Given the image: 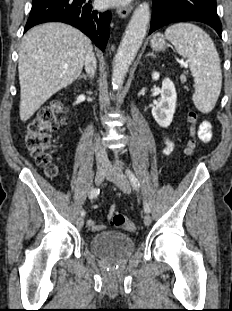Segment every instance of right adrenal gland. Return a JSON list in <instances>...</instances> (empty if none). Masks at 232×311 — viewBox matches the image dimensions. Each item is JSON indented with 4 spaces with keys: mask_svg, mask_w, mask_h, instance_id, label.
<instances>
[{
    "mask_svg": "<svg viewBox=\"0 0 232 311\" xmlns=\"http://www.w3.org/2000/svg\"><path fill=\"white\" fill-rule=\"evenodd\" d=\"M79 79H84V80H88V76L86 74L80 75Z\"/></svg>",
    "mask_w": 232,
    "mask_h": 311,
    "instance_id": "right-adrenal-gland-1",
    "label": "right adrenal gland"
}]
</instances>
